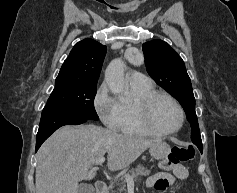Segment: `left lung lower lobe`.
I'll return each mask as SVG.
<instances>
[{
  "mask_svg": "<svg viewBox=\"0 0 237 193\" xmlns=\"http://www.w3.org/2000/svg\"><path fill=\"white\" fill-rule=\"evenodd\" d=\"M200 151H201V153H202V151H203V149H199Z\"/></svg>",
  "mask_w": 237,
  "mask_h": 193,
  "instance_id": "obj_1",
  "label": "left lung lower lobe"
}]
</instances>
